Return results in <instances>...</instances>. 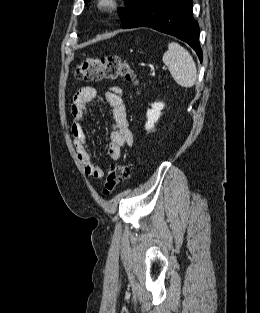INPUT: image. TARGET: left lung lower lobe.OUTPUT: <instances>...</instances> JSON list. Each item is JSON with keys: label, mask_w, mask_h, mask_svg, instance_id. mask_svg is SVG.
<instances>
[{"label": "left lung lower lobe", "mask_w": 260, "mask_h": 313, "mask_svg": "<svg viewBox=\"0 0 260 313\" xmlns=\"http://www.w3.org/2000/svg\"><path fill=\"white\" fill-rule=\"evenodd\" d=\"M192 0H152L126 28L150 27L188 43L202 62L199 26L192 17Z\"/></svg>", "instance_id": "0a47b994"}]
</instances>
